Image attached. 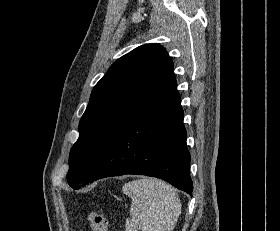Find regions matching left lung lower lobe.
Here are the masks:
<instances>
[{
  "label": "left lung lower lobe",
  "instance_id": "0a47b994",
  "mask_svg": "<svg viewBox=\"0 0 280 231\" xmlns=\"http://www.w3.org/2000/svg\"><path fill=\"white\" fill-rule=\"evenodd\" d=\"M186 136L181 99L175 89L108 145L81 185L105 177L146 175L192 195Z\"/></svg>",
  "mask_w": 280,
  "mask_h": 231
}]
</instances>
